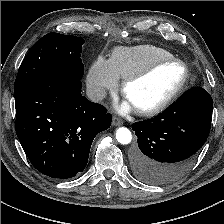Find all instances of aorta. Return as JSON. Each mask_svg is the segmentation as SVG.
<instances>
[{"label": "aorta", "instance_id": "aorta-1", "mask_svg": "<svg viewBox=\"0 0 224 224\" xmlns=\"http://www.w3.org/2000/svg\"><path fill=\"white\" fill-rule=\"evenodd\" d=\"M116 140L123 145L129 144L132 140L131 131L126 127H120L116 130Z\"/></svg>", "mask_w": 224, "mask_h": 224}]
</instances>
